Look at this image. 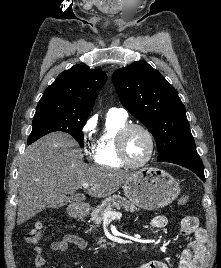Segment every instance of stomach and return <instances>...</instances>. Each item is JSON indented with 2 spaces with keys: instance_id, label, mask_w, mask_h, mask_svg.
<instances>
[{
  "instance_id": "stomach-1",
  "label": "stomach",
  "mask_w": 221,
  "mask_h": 268,
  "mask_svg": "<svg viewBox=\"0 0 221 268\" xmlns=\"http://www.w3.org/2000/svg\"><path fill=\"white\" fill-rule=\"evenodd\" d=\"M125 196L135 205L154 210L172 203L180 193L179 183L166 171L146 167L135 172L123 185ZM83 208L79 205L70 210L72 216H80Z\"/></svg>"
}]
</instances>
